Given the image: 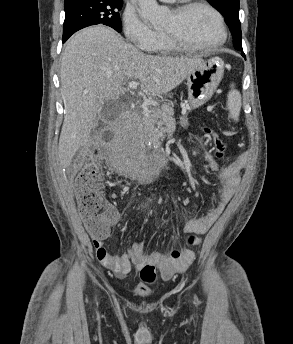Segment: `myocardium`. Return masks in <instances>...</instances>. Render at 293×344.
Returning a JSON list of instances; mask_svg holds the SVG:
<instances>
[{
  "instance_id": "myocardium-1",
  "label": "myocardium",
  "mask_w": 293,
  "mask_h": 344,
  "mask_svg": "<svg viewBox=\"0 0 293 344\" xmlns=\"http://www.w3.org/2000/svg\"><path fill=\"white\" fill-rule=\"evenodd\" d=\"M195 7H201L208 10L216 19V22L219 28V33H220L219 38L216 41L207 45H194L187 42L185 39H183L181 36H179L176 33L163 32V34L174 46H176L180 50H184L188 52H209V51L219 48L227 40L228 32H227V27H226L223 15L213 5H211L210 3L204 0H189L175 7L172 10V12L176 16H181L188 10Z\"/></svg>"
}]
</instances>
